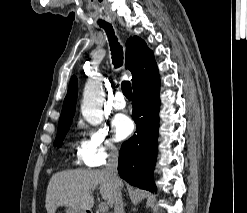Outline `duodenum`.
<instances>
[{
	"mask_svg": "<svg viewBox=\"0 0 247 213\" xmlns=\"http://www.w3.org/2000/svg\"><path fill=\"white\" fill-rule=\"evenodd\" d=\"M87 213H94L93 211H88Z\"/></svg>",
	"mask_w": 247,
	"mask_h": 213,
	"instance_id": "410a0bca",
	"label": "duodenum"
}]
</instances>
